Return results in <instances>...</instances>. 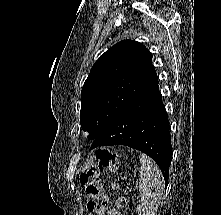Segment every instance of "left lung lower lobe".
I'll return each instance as SVG.
<instances>
[{
    "label": "left lung lower lobe",
    "mask_w": 221,
    "mask_h": 215,
    "mask_svg": "<svg viewBox=\"0 0 221 215\" xmlns=\"http://www.w3.org/2000/svg\"><path fill=\"white\" fill-rule=\"evenodd\" d=\"M104 145H126L149 155L160 167L167 186L172 147L158 82L95 138L90 150Z\"/></svg>",
    "instance_id": "1"
}]
</instances>
